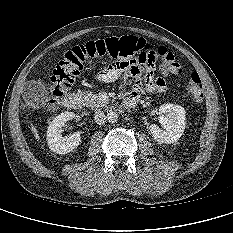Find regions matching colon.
Masks as SVG:
<instances>
[{"instance_id":"1","label":"colon","mask_w":233,"mask_h":233,"mask_svg":"<svg viewBox=\"0 0 233 233\" xmlns=\"http://www.w3.org/2000/svg\"><path fill=\"white\" fill-rule=\"evenodd\" d=\"M149 51H156L161 56V70L164 75H178L183 69L173 55L164 47H152L144 39L125 35L104 40L91 41L75 46L65 52L53 70L49 86V102L56 104L71 87L76 77L83 71L90 59L111 58L123 61L126 58L145 56ZM187 86L193 100L200 102L204 97L200 76L193 72L187 78Z\"/></svg>"}]
</instances>
